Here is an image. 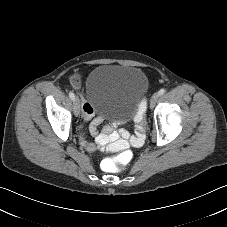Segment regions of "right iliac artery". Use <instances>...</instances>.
<instances>
[{"instance_id": "1", "label": "right iliac artery", "mask_w": 227, "mask_h": 227, "mask_svg": "<svg viewBox=\"0 0 227 227\" xmlns=\"http://www.w3.org/2000/svg\"><path fill=\"white\" fill-rule=\"evenodd\" d=\"M69 97L71 98V100H73L74 101V99H75V95H74V93L73 92H69Z\"/></svg>"}]
</instances>
